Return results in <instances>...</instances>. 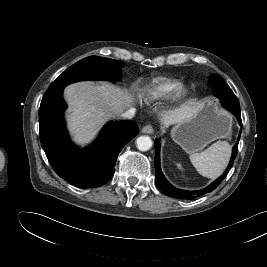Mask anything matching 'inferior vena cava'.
Here are the masks:
<instances>
[{
  "instance_id": "obj_1",
  "label": "inferior vena cava",
  "mask_w": 267,
  "mask_h": 267,
  "mask_svg": "<svg viewBox=\"0 0 267 267\" xmlns=\"http://www.w3.org/2000/svg\"><path fill=\"white\" fill-rule=\"evenodd\" d=\"M134 115H135V109H133V108L125 111L124 113H121V117L127 118V119L133 118Z\"/></svg>"
}]
</instances>
